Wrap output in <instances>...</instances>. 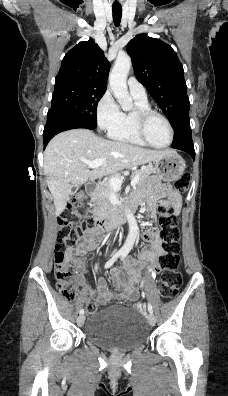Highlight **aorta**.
Returning a JSON list of instances; mask_svg holds the SVG:
<instances>
[{
	"label": "aorta",
	"mask_w": 228,
	"mask_h": 396,
	"mask_svg": "<svg viewBox=\"0 0 228 396\" xmlns=\"http://www.w3.org/2000/svg\"><path fill=\"white\" fill-rule=\"evenodd\" d=\"M130 68L131 58L126 54H120L117 56L109 75L111 91L124 111L130 110L133 105L127 88V75ZM125 214L129 224V233L122 249L129 252L136 241L139 228L131 210L125 208Z\"/></svg>",
	"instance_id": "obj_1"
}]
</instances>
